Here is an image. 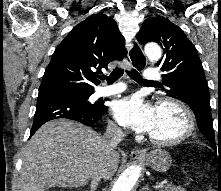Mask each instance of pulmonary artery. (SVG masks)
Masks as SVG:
<instances>
[{"label":"pulmonary artery","mask_w":221,"mask_h":191,"mask_svg":"<svg viewBox=\"0 0 221 191\" xmlns=\"http://www.w3.org/2000/svg\"><path fill=\"white\" fill-rule=\"evenodd\" d=\"M162 74L159 71H156L154 69H147L144 72V78L146 81L149 82H155L158 81L159 79H161ZM125 85L124 84H114L111 86H103L100 87L96 93H95V97H107V96H112L118 93H121L125 90Z\"/></svg>","instance_id":"e3ab8cb5"}]
</instances>
